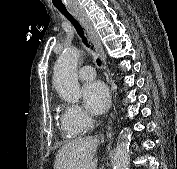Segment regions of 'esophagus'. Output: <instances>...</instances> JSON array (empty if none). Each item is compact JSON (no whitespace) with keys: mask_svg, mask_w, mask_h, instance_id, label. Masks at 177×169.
I'll return each mask as SVG.
<instances>
[{"mask_svg":"<svg viewBox=\"0 0 177 169\" xmlns=\"http://www.w3.org/2000/svg\"><path fill=\"white\" fill-rule=\"evenodd\" d=\"M68 10L75 18H77V20L82 24L84 29L87 31V33L91 37L93 43L95 44L98 50V55L101 59L102 65L105 66L106 57L104 55L103 47H102L99 35L97 34L96 29L94 28L93 23L91 22L90 18L87 16L85 11L79 5L68 6Z\"/></svg>","mask_w":177,"mask_h":169,"instance_id":"34e87169","label":"esophagus"}]
</instances>
